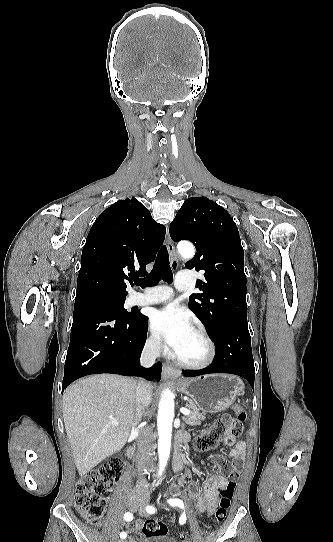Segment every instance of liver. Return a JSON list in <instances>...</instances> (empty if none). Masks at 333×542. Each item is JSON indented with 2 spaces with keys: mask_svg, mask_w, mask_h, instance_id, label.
I'll return each instance as SVG.
<instances>
[{
  "mask_svg": "<svg viewBox=\"0 0 333 542\" xmlns=\"http://www.w3.org/2000/svg\"><path fill=\"white\" fill-rule=\"evenodd\" d=\"M136 388L134 378L95 374L65 390L63 420L79 476L125 446L133 424Z\"/></svg>",
  "mask_w": 333,
  "mask_h": 542,
  "instance_id": "6515ba94",
  "label": "liver"
}]
</instances>
